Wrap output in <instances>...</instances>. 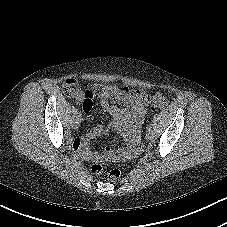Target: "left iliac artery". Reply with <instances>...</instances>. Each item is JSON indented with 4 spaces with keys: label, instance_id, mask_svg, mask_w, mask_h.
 <instances>
[{
    "label": "left iliac artery",
    "instance_id": "left-iliac-artery-1",
    "mask_svg": "<svg viewBox=\"0 0 227 227\" xmlns=\"http://www.w3.org/2000/svg\"><path fill=\"white\" fill-rule=\"evenodd\" d=\"M147 129H148V130H151V129H152V124H151V123H149V124L147 125Z\"/></svg>",
    "mask_w": 227,
    "mask_h": 227
}]
</instances>
